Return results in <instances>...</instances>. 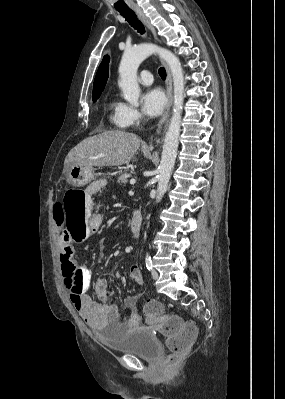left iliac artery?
I'll list each match as a JSON object with an SVG mask.
<instances>
[{
  "label": "left iliac artery",
  "instance_id": "44dca946",
  "mask_svg": "<svg viewBox=\"0 0 285 399\" xmlns=\"http://www.w3.org/2000/svg\"><path fill=\"white\" fill-rule=\"evenodd\" d=\"M145 261H146V268L149 271L152 270L153 264H152L151 256L149 254H147Z\"/></svg>",
  "mask_w": 285,
  "mask_h": 399
}]
</instances>
